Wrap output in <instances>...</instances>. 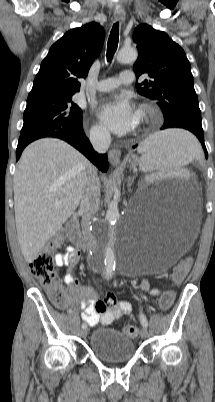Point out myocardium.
<instances>
[{
  "mask_svg": "<svg viewBox=\"0 0 215 402\" xmlns=\"http://www.w3.org/2000/svg\"><path fill=\"white\" fill-rule=\"evenodd\" d=\"M137 113L139 114L140 118H141V123H142V128L145 127L146 125H148L156 116L157 111L156 109L148 103H142L138 110Z\"/></svg>",
  "mask_w": 215,
  "mask_h": 402,
  "instance_id": "myocardium-1",
  "label": "myocardium"
}]
</instances>
